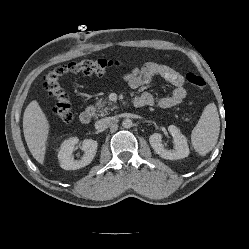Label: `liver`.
Returning <instances> with one entry per match:
<instances>
[{"label": "liver", "mask_w": 249, "mask_h": 249, "mask_svg": "<svg viewBox=\"0 0 249 249\" xmlns=\"http://www.w3.org/2000/svg\"><path fill=\"white\" fill-rule=\"evenodd\" d=\"M50 125L36 100L28 104L23 115V132L27 146L37 162L44 163Z\"/></svg>", "instance_id": "obj_1"}]
</instances>
